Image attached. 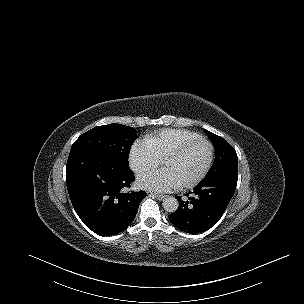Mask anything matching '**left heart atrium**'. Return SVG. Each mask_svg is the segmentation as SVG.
Returning a JSON list of instances; mask_svg holds the SVG:
<instances>
[{
  "label": "left heart atrium",
  "mask_w": 304,
  "mask_h": 304,
  "mask_svg": "<svg viewBox=\"0 0 304 304\" xmlns=\"http://www.w3.org/2000/svg\"><path fill=\"white\" fill-rule=\"evenodd\" d=\"M143 184L153 190L170 191L178 186L177 181L163 170H151L142 176Z\"/></svg>",
  "instance_id": "obj_1"
}]
</instances>
